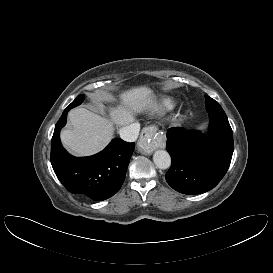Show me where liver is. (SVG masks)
<instances>
[{
    "mask_svg": "<svg viewBox=\"0 0 273 273\" xmlns=\"http://www.w3.org/2000/svg\"><path fill=\"white\" fill-rule=\"evenodd\" d=\"M105 95L104 99H109ZM122 105L110 109L111 119L101 117L85 108L72 109L69 114L71 129L61 131V141L77 156L93 155L107 146L114 135V126H127L135 118L134 114L153 108L156 98L147 87H138L120 95Z\"/></svg>",
    "mask_w": 273,
    "mask_h": 273,
    "instance_id": "obj_1",
    "label": "liver"
}]
</instances>
